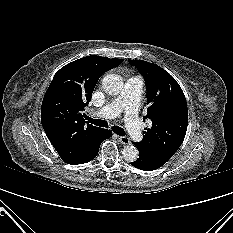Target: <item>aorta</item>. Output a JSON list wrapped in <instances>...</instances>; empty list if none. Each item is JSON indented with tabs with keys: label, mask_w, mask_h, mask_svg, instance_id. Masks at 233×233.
I'll use <instances>...</instances> for the list:
<instances>
[{
	"label": "aorta",
	"mask_w": 233,
	"mask_h": 233,
	"mask_svg": "<svg viewBox=\"0 0 233 233\" xmlns=\"http://www.w3.org/2000/svg\"><path fill=\"white\" fill-rule=\"evenodd\" d=\"M124 82L117 74H108L102 80V88L110 95L118 94L123 88ZM138 150L135 146L128 144L123 147L122 155L128 162H133L138 158Z\"/></svg>",
	"instance_id": "obj_1"
}]
</instances>
